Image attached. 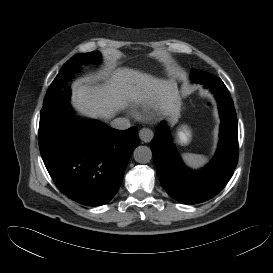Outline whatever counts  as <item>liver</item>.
I'll return each mask as SVG.
<instances>
[{
    "instance_id": "6515ba94",
    "label": "liver",
    "mask_w": 273,
    "mask_h": 273,
    "mask_svg": "<svg viewBox=\"0 0 273 273\" xmlns=\"http://www.w3.org/2000/svg\"><path fill=\"white\" fill-rule=\"evenodd\" d=\"M72 90L75 108L91 118L108 120L130 102L156 104L164 115L175 110L173 80L157 79L129 68H118L101 85L78 80Z\"/></svg>"
}]
</instances>
